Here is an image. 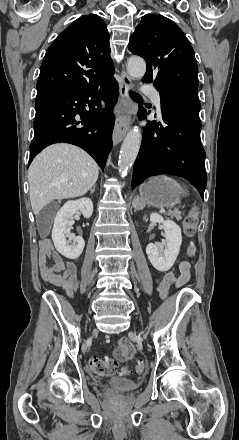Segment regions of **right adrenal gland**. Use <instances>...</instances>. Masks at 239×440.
I'll use <instances>...</instances> for the list:
<instances>
[{"label": "right adrenal gland", "instance_id": "1", "mask_svg": "<svg viewBox=\"0 0 239 440\" xmlns=\"http://www.w3.org/2000/svg\"><path fill=\"white\" fill-rule=\"evenodd\" d=\"M95 188H96V186H93V188H91V190H90V194H94V192H95Z\"/></svg>", "mask_w": 239, "mask_h": 440}]
</instances>
